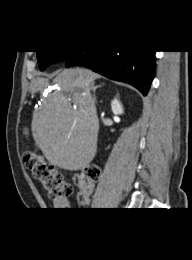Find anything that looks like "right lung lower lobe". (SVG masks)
<instances>
[{
	"label": "right lung lower lobe",
	"instance_id": "obj_1",
	"mask_svg": "<svg viewBox=\"0 0 192 260\" xmlns=\"http://www.w3.org/2000/svg\"><path fill=\"white\" fill-rule=\"evenodd\" d=\"M155 51H76L66 60V67L83 65L110 79L127 82L144 96L155 71Z\"/></svg>",
	"mask_w": 192,
	"mask_h": 260
}]
</instances>
